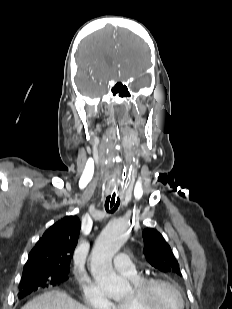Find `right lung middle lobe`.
Masks as SVG:
<instances>
[{"label":"right lung middle lobe","mask_w":232,"mask_h":309,"mask_svg":"<svg viewBox=\"0 0 232 309\" xmlns=\"http://www.w3.org/2000/svg\"><path fill=\"white\" fill-rule=\"evenodd\" d=\"M68 273L56 271H37L23 274L19 290L25 286L34 288L45 287L48 285H57L67 280Z\"/></svg>","instance_id":"1"}]
</instances>
